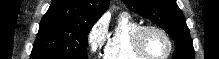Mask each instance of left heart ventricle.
I'll return each mask as SVG.
<instances>
[{"mask_svg": "<svg viewBox=\"0 0 219 59\" xmlns=\"http://www.w3.org/2000/svg\"><path fill=\"white\" fill-rule=\"evenodd\" d=\"M143 48L152 57H162L168 51V42L159 32L149 30L142 39Z\"/></svg>", "mask_w": 219, "mask_h": 59, "instance_id": "obj_1", "label": "left heart ventricle"}]
</instances>
